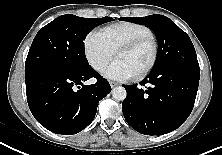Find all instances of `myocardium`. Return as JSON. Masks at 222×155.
<instances>
[{
    "label": "myocardium",
    "mask_w": 222,
    "mask_h": 155,
    "mask_svg": "<svg viewBox=\"0 0 222 155\" xmlns=\"http://www.w3.org/2000/svg\"><path fill=\"white\" fill-rule=\"evenodd\" d=\"M145 43H151L152 47H153V55L152 58L149 62V64L139 73H137L136 75H134L135 79H143L144 77H146L155 67L157 61H158V57H159V43L157 41V38L154 35H147V36H142L139 37L137 39H134L128 43L123 44L122 46H120L117 50H116V56L121 53V52H125V51H132L138 47H140L141 45L145 44Z\"/></svg>",
    "instance_id": "myocardium-1"
}]
</instances>
